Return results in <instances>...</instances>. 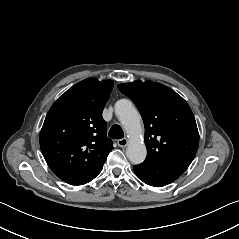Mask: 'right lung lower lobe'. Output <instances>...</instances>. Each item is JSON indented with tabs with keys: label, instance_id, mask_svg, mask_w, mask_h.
<instances>
[{
	"label": "right lung lower lobe",
	"instance_id": "1",
	"mask_svg": "<svg viewBox=\"0 0 239 239\" xmlns=\"http://www.w3.org/2000/svg\"><path fill=\"white\" fill-rule=\"evenodd\" d=\"M103 166L97 171L87 175H74V174H56L64 182L71 185H82L93 180L102 170Z\"/></svg>",
	"mask_w": 239,
	"mask_h": 239
}]
</instances>
